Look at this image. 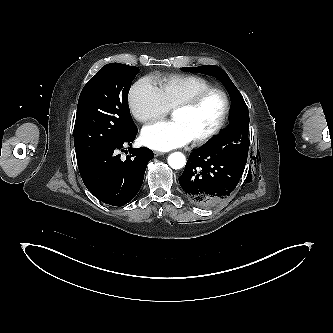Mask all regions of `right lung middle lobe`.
I'll list each match as a JSON object with an SVG mask.
<instances>
[{"instance_id":"obj_1","label":"right lung middle lobe","mask_w":333,"mask_h":333,"mask_svg":"<svg viewBox=\"0 0 333 333\" xmlns=\"http://www.w3.org/2000/svg\"><path fill=\"white\" fill-rule=\"evenodd\" d=\"M138 72V67L110 63L84 86L74 126L77 161L123 140L136 129L129 111L128 93Z\"/></svg>"}]
</instances>
